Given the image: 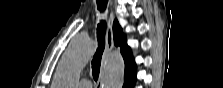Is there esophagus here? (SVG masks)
Listing matches in <instances>:
<instances>
[{
  "mask_svg": "<svg viewBox=\"0 0 223 88\" xmlns=\"http://www.w3.org/2000/svg\"><path fill=\"white\" fill-rule=\"evenodd\" d=\"M113 21H114V14H113V12H111L110 16H109V20H108L107 30H106V46H105V50H104L103 57H102L100 75H99V79H98L97 86H96L97 88H101L103 85V74H104L106 59H107L110 51L114 47Z\"/></svg>",
  "mask_w": 223,
  "mask_h": 88,
  "instance_id": "34e87169",
  "label": "esophagus"
}]
</instances>
